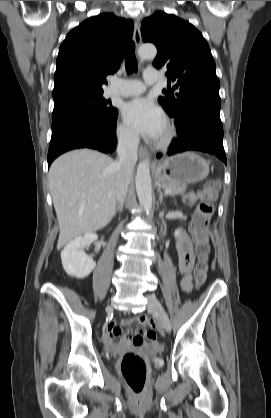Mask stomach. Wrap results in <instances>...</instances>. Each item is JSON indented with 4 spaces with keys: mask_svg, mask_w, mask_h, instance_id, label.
I'll use <instances>...</instances> for the list:
<instances>
[{
    "mask_svg": "<svg viewBox=\"0 0 271 418\" xmlns=\"http://www.w3.org/2000/svg\"><path fill=\"white\" fill-rule=\"evenodd\" d=\"M209 162L194 152H185L165 159L154 174L161 184H191L204 180L209 174Z\"/></svg>",
    "mask_w": 271,
    "mask_h": 418,
    "instance_id": "0dacf381",
    "label": "stomach"
}]
</instances>
